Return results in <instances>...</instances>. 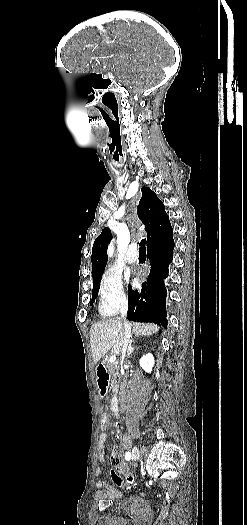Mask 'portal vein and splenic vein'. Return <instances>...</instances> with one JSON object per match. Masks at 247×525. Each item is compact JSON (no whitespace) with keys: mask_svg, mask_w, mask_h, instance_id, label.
Masks as SVG:
<instances>
[{"mask_svg":"<svg viewBox=\"0 0 247 525\" xmlns=\"http://www.w3.org/2000/svg\"><path fill=\"white\" fill-rule=\"evenodd\" d=\"M116 359H117V354L112 353V354L110 355V357L108 358V361H109L110 363H114V362L116 361Z\"/></svg>","mask_w":247,"mask_h":525,"instance_id":"18ae733b","label":"portal vein and splenic vein"}]
</instances>
